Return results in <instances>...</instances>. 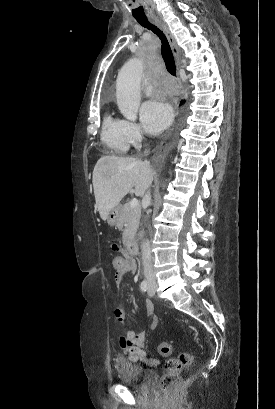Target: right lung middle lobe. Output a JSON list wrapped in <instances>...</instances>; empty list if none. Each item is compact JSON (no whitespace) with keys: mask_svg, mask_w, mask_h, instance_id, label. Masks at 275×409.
<instances>
[{"mask_svg":"<svg viewBox=\"0 0 275 409\" xmlns=\"http://www.w3.org/2000/svg\"><path fill=\"white\" fill-rule=\"evenodd\" d=\"M176 142V137H173L168 144V148L172 147ZM149 168L150 169H159L161 167V162L159 160H150L149 161Z\"/></svg>","mask_w":275,"mask_h":409,"instance_id":"1","label":"right lung middle lobe"}]
</instances>
